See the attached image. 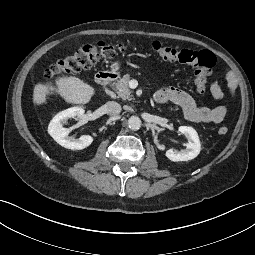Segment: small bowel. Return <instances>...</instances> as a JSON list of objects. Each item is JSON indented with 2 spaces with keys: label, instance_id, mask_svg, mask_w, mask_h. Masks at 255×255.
<instances>
[{
  "label": "small bowel",
  "instance_id": "1",
  "mask_svg": "<svg viewBox=\"0 0 255 255\" xmlns=\"http://www.w3.org/2000/svg\"><path fill=\"white\" fill-rule=\"evenodd\" d=\"M226 82L229 93L234 95L238 82L232 71L226 72ZM209 90L215 99L222 100L224 98V92L216 82L209 84ZM153 98L159 104L166 102L176 104L182 109L185 118L193 123H220L227 113V109L223 105L215 108L197 106L190 94L173 86L161 88Z\"/></svg>",
  "mask_w": 255,
  "mask_h": 255
}]
</instances>
